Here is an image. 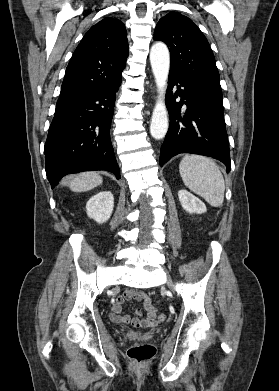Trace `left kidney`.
Returning <instances> with one entry per match:
<instances>
[{
    "label": "left kidney",
    "instance_id": "left-kidney-1",
    "mask_svg": "<svg viewBox=\"0 0 279 391\" xmlns=\"http://www.w3.org/2000/svg\"><path fill=\"white\" fill-rule=\"evenodd\" d=\"M178 197L183 209L190 214H202L207 210L206 205L187 190H180L178 192Z\"/></svg>",
    "mask_w": 279,
    "mask_h": 391
}]
</instances>
